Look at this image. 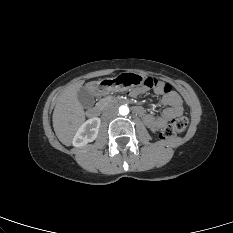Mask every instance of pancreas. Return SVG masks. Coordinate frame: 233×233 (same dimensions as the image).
I'll return each instance as SVG.
<instances>
[{
	"label": "pancreas",
	"instance_id": "1",
	"mask_svg": "<svg viewBox=\"0 0 233 233\" xmlns=\"http://www.w3.org/2000/svg\"><path fill=\"white\" fill-rule=\"evenodd\" d=\"M109 99L108 98H104L100 100V104L106 103Z\"/></svg>",
	"mask_w": 233,
	"mask_h": 233
}]
</instances>
